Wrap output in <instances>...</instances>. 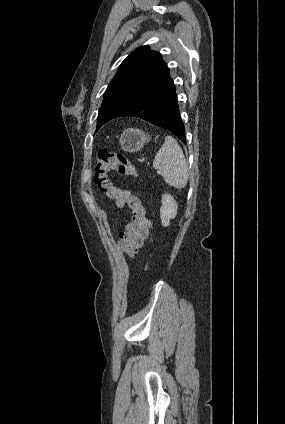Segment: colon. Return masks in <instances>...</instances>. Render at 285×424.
<instances>
[{"label":"colon","mask_w":285,"mask_h":424,"mask_svg":"<svg viewBox=\"0 0 285 424\" xmlns=\"http://www.w3.org/2000/svg\"><path fill=\"white\" fill-rule=\"evenodd\" d=\"M112 171L122 176L138 177L139 173L134 164L119 153L100 150L95 163V183L99 190L110 200L116 202L118 207H126L130 211V220L125 225L118 241L120 250L129 256L136 254L142 247L146 238L152 240V221L147 216V210L139 195L131 191L117 187L110 179ZM149 259L145 269L149 267Z\"/></svg>","instance_id":"colon-1"}]
</instances>
